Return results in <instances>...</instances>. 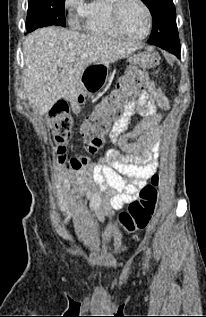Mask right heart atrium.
I'll list each match as a JSON object with an SVG mask.
<instances>
[{"label":"right heart atrium","instance_id":"obj_1","mask_svg":"<svg viewBox=\"0 0 206 317\" xmlns=\"http://www.w3.org/2000/svg\"><path fill=\"white\" fill-rule=\"evenodd\" d=\"M64 7L69 14L72 25H77L82 19L85 10L84 0H64Z\"/></svg>","mask_w":206,"mask_h":317}]
</instances>
